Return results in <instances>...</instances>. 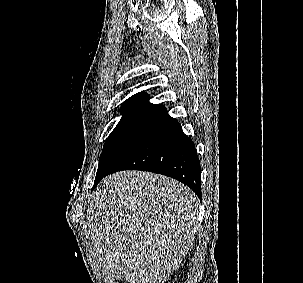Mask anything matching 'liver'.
Returning <instances> with one entry per match:
<instances>
[{
    "label": "liver",
    "instance_id": "liver-1",
    "mask_svg": "<svg viewBox=\"0 0 303 283\" xmlns=\"http://www.w3.org/2000/svg\"><path fill=\"white\" fill-rule=\"evenodd\" d=\"M199 200L171 178L124 171L103 179L88 207L95 256L108 277L165 283L193 246Z\"/></svg>",
    "mask_w": 303,
    "mask_h": 283
}]
</instances>
